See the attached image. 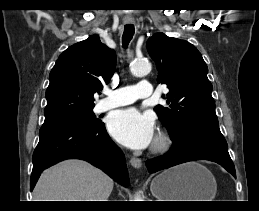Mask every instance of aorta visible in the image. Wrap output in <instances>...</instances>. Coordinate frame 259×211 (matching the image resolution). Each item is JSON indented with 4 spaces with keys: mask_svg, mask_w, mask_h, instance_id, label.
<instances>
[{
    "mask_svg": "<svg viewBox=\"0 0 259 211\" xmlns=\"http://www.w3.org/2000/svg\"><path fill=\"white\" fill-rule=\"evenodd\" d=\"M130 71L136 77H143L151 71V64L147 60H138L132 63ZM134 201H142L140 195L135 196Z\"/></svg>",
    "mask_w": 259,
    "mask_h": 211,
    "instance_id": "762f6f07",
    "label": "aorta"
}]
</instances>
